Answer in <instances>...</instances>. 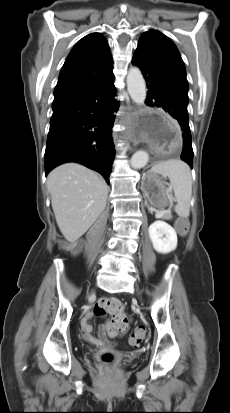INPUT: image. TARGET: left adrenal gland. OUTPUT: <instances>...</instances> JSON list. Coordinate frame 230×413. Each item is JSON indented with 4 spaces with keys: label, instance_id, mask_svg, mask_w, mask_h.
Listing matches in <instances>:
<instances>
[{
    "label": "left adrenal gland",
    "instance_id": "1",
    "mask_svg": "<svg viewBox=\"0 0 230 413\" xmlns=\"http://www.w3.org/2000/svg\"><path fill=\"white\" fill-rule=\"evenodd\" d=\"M146 206H147L148 210L152 213V211L150 210L149 205L147 203H146Z\"/></svg>",
    "mask_w": 230,
    "mask_h": 413
}]
</instances>
